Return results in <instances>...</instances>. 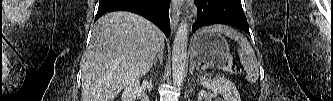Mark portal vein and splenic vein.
Here are the masks:
<instances>
[{
  "mask_svg": "<svg viewBox=\"0 0 333 101\" xmlns=\"http://www.w3.org/2000/svg\"><path fill=\"white\" fill-rule=\"evenodd\" d=\"M231 67H232V61L230 59L228 62V65L223 67L222 69H223V71H230ZM207 68H208V65H204L202 69H207Z\"/></svg>",
  "mask_w": 333,
  "mask_h": 101,
  "instance_id": "obj_1",
  "label": "portal vein and splenic vein"
}]
</instances>
